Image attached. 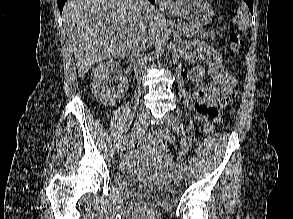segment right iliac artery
Wrapping results in <instances>:
<instances>
[{"instance_id": "1", "label": "right iliac artery", "mask_w": 293, "mask_h": 219, "mask_svg": "<svg viewBox=\"0 0 293 219\" xmlns=\"http://www.w3.org/2000/svg\"><path fill=\"white\" fill-rule=\"evenodd\" d=\"M145 128H139V129H136V130H132L131 132L129 133H124L123 135L120 136L119 138V142H122L124 141L126 138H129V137H134L135 135H139L141 134L142 132H144Z\"/></svg>"}]
</instances>
